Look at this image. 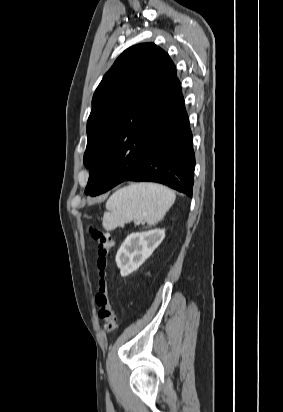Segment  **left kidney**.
Listing matches in <instances>:
<instances>
[{
  "mask_svg": "<svg viewBox=\"0 0 283 412\" xmlns=\"http://www.w3.org/2000/svg\"><path fill=\"white\" fill-rule=\"evenodd\" d=\"M164 237V229L128 235L116 254V264L121 276H128L137 270L152 255Z\"/></svg>",
  "mask_w": 283,
  "mask_h": 412,
  "instance_id": "1",
  "label": "left kidney"
}]
</instances>
